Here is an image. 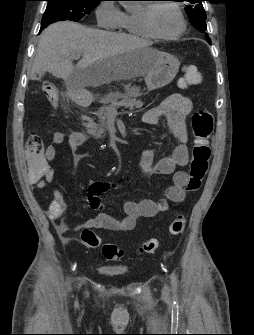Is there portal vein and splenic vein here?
<instances>
[{
	"instance_id": "portal-vein-and-splenic-vein-1",
	"label": "portal vein and splenic vein",
	"mask_w": 254,
	"mask_h": 335,
	"mask_svg": "<svg viewBox=\"0 0 254 335\" xmlns=\"http://www.w3.org/2000/svg\"><path fill=\"white\" fill-rule=\"evenodd\" d=\"M80 56H81V55H80V54H78V55H76V56H75V58H79Z\"/></svg>"
}]
</instances>
